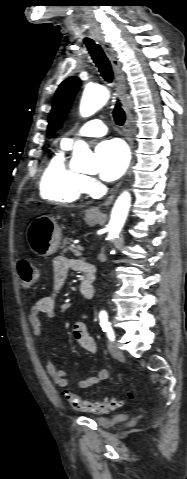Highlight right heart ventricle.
I'll use <instances>...</instances> for the list:
<instances>
[{
  "instance_id": "right-heart-ventricle-1",
  "label": "right heart ventricle",
  "mask_w": 187,
  "mask_h": 479,
  "mask_svg": "<svg viewBox=\"0 0 187 479\" xmlns=\"http://www.w3.org/2000/svg\"><path fill=\"white\" fill-rule=\"evenodd\" d=\"M69 148L62 142L45 164L40 179V194L47 201L72 203L84 191L83 175L67 163Z\"/></svg>"
}]
</instances>
